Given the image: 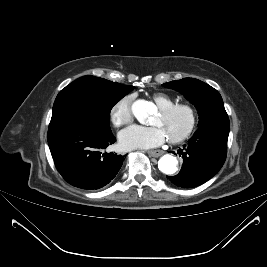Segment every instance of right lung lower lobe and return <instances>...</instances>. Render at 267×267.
Segmentation results:
<instances>
[{
	"label": "right lung lower lobe",
	"instance_id": "right-lung-lower-lobe-1",
	"mask_svg": "<svg viewBox=\"0 0 267 267\" xmlns=\"http://www.w3.org/2000/svg\"><path fill=\"white\" fill-rule=\"evenodd\" d=\"M55 166L71 185L95 190L106 186L120 170L124 156L103 150L116 139L111 131L70 123L48 130Z\"/></svg>",
	"mask_w": 267,
	"mask_h": 267
}]
</instances>
